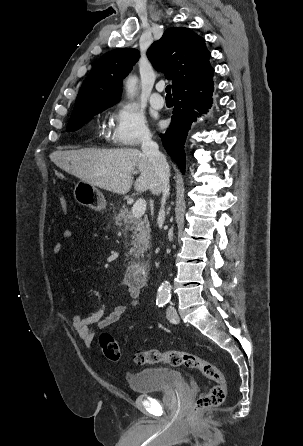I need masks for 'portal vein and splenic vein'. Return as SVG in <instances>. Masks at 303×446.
Returning <instances> with one entry per match:
<instances>
[{"label": "portal vein and splenic vein", "mask_w": 303, "mask_h": 446, "mask_svg": "<svg viewBox=\"0 0 303 446\" xmlns=\"http://www.w3.org/2000/svg\"><path fill=\"white\" fill-rule=\"evenodd\" d=\"M145 211H146V201L143 199L137 200L132 207L133 217L140 218L144 215Z\"/></svg>", "instance_id": "portal-vein-and-splenic-vein-1"}]
</instances>
